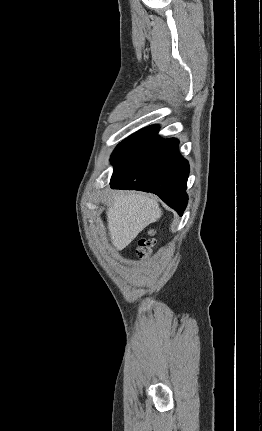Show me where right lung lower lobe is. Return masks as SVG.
I'll list each match as a JSON object with an SVG mask.
<instances>
[{"label":"right lung lower lobe","mask_w":262,"mask_h":431,"mask_svg":"<svg viewBox=\"0 0 262 431\" xmlns=\"http://www.w3.org/2000/svg\"><path fill=\"white\" fill-rule=\"evenodd\" d=\"M157 132L158 126L146 127L116 147L111 188L157 194L181 216L188 201L189 164L178 152V140H162Z\"/></svg>","instance_id":"1"}]
</instances>
